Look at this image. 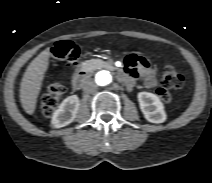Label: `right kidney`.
Returning <instances> with one entry per match:
<instances>
[{
  "mask_svg": "<svg viewBox=\"0 0 212 183\" xmlns=\"http://www.w3.org/2000/svg\"><path fill=\"white\" fill-rule=\"evenodd\" d=\"M79 106L80 102L77 95H72L64 99L53 113L51 120L53 127L61 128L73 122L76 118Z\"/></svg>",
  "mask_w": 212,
  "mask_h": 183,
  "instance_id": "obj_1",
  "label": "right kidney"
}]
</instances>
